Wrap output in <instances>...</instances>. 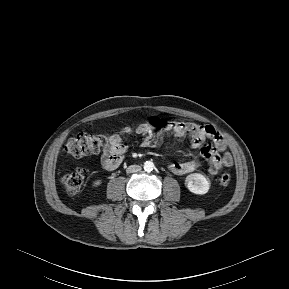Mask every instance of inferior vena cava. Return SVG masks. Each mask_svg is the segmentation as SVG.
<instances>
[{
  "instance_id": "1",
  "label": "inferior vena cava",
  "mask_w": 289,
  "mask_h": 289,
  "mask_svg": "<svg viewBox=\"0 0 289 289\" xmlns=\"http://www.w3.org/2000/svg\"><path fill=\"white\" fill-rule=\"evenodd\" d=\"M141 171V167L139 165H130L127 169V173H135Z\"/></svg>"
}]
</instances>
